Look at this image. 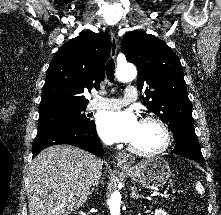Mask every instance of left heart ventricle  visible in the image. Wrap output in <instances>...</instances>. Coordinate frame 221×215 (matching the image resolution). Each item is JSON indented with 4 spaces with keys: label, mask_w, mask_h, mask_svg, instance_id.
Listing matches in <instances>:
<instances>
[{
    "label": "left heart ventricle",
    "mask_w": 221,
    "mask_h": 215,
    "mask_svg": "<svg viewBox=\"0 0 221 215\" xmlns=\"http://www.w3.org/2000/svg\"><path fill=\"white\" fill-rule=\"evenodd\" d=\"M162 142V132L156 124L140 122L138 133L131 144L141 150H154Z\"/></svg>",
    "instance_id": "1"
}]
</instances>
